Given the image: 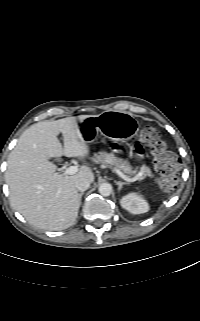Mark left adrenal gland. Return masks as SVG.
I'll return each instance as SVG.
<instances>
[{"instance_id": "obj_1", "label": "left adrenal gland", "mask_w": 200, "mask_h": 321, "mask_svg": "<svg viewBox=\"0 0 200 321\" xmlns=\"http://www.w3.org/2000/svg\"><path fill=\"white\" fill-rule=\"evenodd\" d=\"M115 183L118 185L119 191L122 189L123 185H128L127 182H121V181H115Z\"/></svg>"}]
</instances>
